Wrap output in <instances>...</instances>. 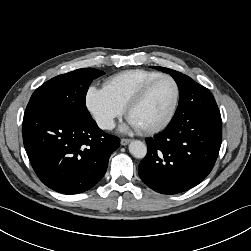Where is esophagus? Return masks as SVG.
Wrapping results in <instances>:
<instances>
[{
    "instance_id": "34e87169",
    "label": "esophagus",
    "mask_w": 251,
    "mask_h": 251,
    "mask_svg": "<svg viewBox=\"0 0 251 251\" xmlns=\"http://www.w3.org/2000/svg\"><path fill=\"white\" fill-rule=\"evenodd\" d=\"M131 142V139L123 138L121 139V145L125 146Z\"/></svg>"
}]
</instances>
